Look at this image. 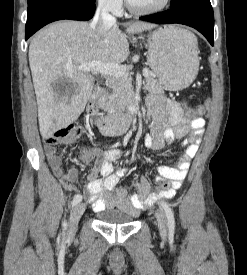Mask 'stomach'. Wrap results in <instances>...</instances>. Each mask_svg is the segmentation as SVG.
Returning <instances> with one entry per match:
<instances>
[{"label": "stomach", "instance_id": "stomach-1", "mask_svg": "<svg viewBox=\"0 0 247 275\" xmlns=\"http://www.w3.org/2000/svg\"><path fill=\"white\" fill-rule=\"evenodd\" d=\"M147 62L164 89L182 90L197 75L198 49L186 30L160 27L148 35Z\"/></svg>", "mask_w": 247, "mask_h": 275}]
</instances>
